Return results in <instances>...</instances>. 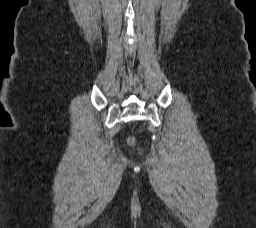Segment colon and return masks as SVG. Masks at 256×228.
<instances>
[{"label": "colon", "mask_w": 256, "mask_h": 228, "mask_svg": "<svg viewBox=\"0 0 256 228\" xmlns=\"http://www.w3.org/2000/svg\"><path fill=\"white\" fill-rule=\"evenodd\" d=\"M128 143H129L130 146L136 147V140H135L134 137H129Z\"/></svg>", "instance_id": "obj_1"}]
</instances>
